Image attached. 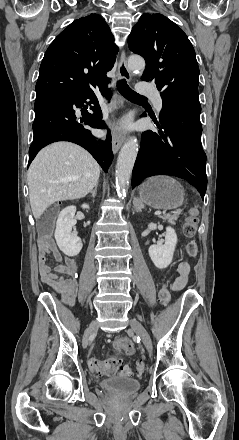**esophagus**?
Here are the masks:
<instances>
[{
  "label": "esophagus",
  "instance_id": "esophagus-1",
  "mask_svg": "<svg viewBox=\"0 0 239 440\" xmlns=\"http://www.w3.org/2000/svg\"><path fill=\"white\" fill-rule=\"evenodd\" d=\"M118 73L122 79L127 80L128 82L131 80V74L127 67L126 57L124 51L121 53V57L118 62ZM125 136L114 133L112 136V150L113 153H117L121 145L124 143Z\"/></svg>",
  "mask_w": 239,
  "mask_h": 440
}]
</instances>
